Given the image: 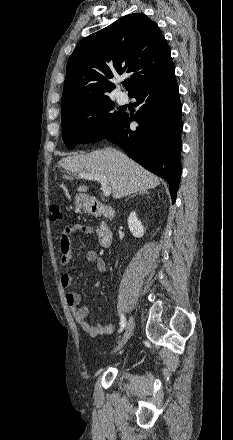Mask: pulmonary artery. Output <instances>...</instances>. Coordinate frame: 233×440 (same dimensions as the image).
Masks as SVG:
<instances>
[{"mask_svg":"<svg viewBox=\"0 0 233 440\" xmlns=\"http://www.w3.org/2000/svg\"><path fill=\"white\" fill-rule=\"evenodd\" d=\"M118 101L120 103H125L127 101V96L123 93H119L118 94Z\"/></svg>","mask_w":233,"mask_h":440,"instance_id":"1","label":"pulmonary artery"}]
</instances>
